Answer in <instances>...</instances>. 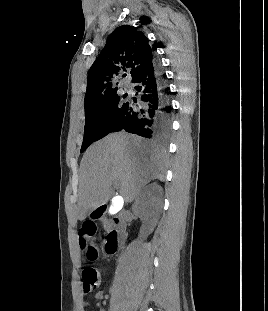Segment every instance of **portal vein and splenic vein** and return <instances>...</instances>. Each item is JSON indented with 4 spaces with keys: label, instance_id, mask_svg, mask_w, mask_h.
I'll return each mask as SVG.
<instances>
[{
    "label": "portal vein and splenic vein",
    "instance_id": "18ae733b",
    "mask_svg": "<svg viewBox=\"0 0 268 311\" xmlns=\"http://www.w3.org/2000/svg\"><path fill=\"white\" fill-rule=\"evenodd\" d=\"M114 185H115V187H118V183H115ZM114 199H115V200H122L121 197H115ZM122 202H123V200H122Z\"/></svg>",
    "mask_w": 268,
    "mask_h": 311
}]
</instances>
